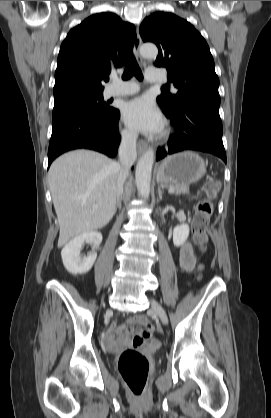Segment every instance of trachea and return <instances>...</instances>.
<instances>
[{
  "mask_svg": "<svg viewBox=\"0 0 271 418\" xmlns=\"http://www.w3.org/2000/svg\"><path fill=\"white\" fill-rule=\"evenodd\" d=\"M132 76H135L139 80L143 79L142 72H141V70H140V68L137 64L136 59L133 56H131L127 60L122 78H123V80H128ZM163 89H165V87H163Z\"/></svg>",
  "mask_w": 271,
  "mask_h": 418,
  "instance_id": "trachea-1",
  "label": "trachea"
}]
</instances>
